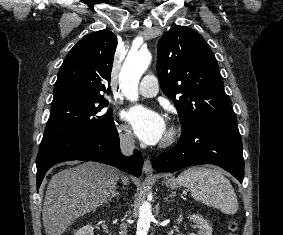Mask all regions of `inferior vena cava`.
Returning <instances> with one entry per match:
<instances>
[{
	"label": "inferior vena cava",
	"mask_w": 283,
	"mask_h": 235,
	"mask_svg": "<svg viewBox=\"0 0 283 235\" xmlns=\"http://www.w3.org/2000/svg\"><path fill=\"white\" fill-rule=\"evenodd\" d=\"M134 135L131 131L126 130L124 133L120 134V150L123 155L130 156L133 153L135 147ZM120 234L127 235L126 224H121Z\"/></svg>",
	"instance_id": "602c4592"
}]
</instances>
